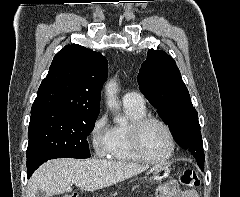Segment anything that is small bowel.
<instances>
[{
	"label": "small bowel",
	"mask_w": 240,
	"mask_h": 197,
	"mask_svg": "<svg viewBox=\"0 0 240 197\" xmlns=\"http://www.w3.org/2000/svg\"><path fill=\"white\" fill-rule=\"evenodd\" d=\"M157 197H162L160 194ZM165 197H199L198 193L194 189L180 190L178 188H172Z\"/></svg>",
	"instance_id": "small-bowel-1"
}]
</instances>
